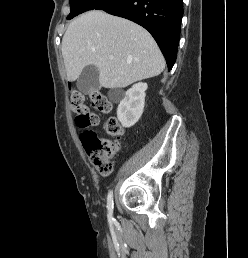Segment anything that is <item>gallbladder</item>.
<instances>
[{"mask_svg":"<svg viewBox=\"0 0 248 258\" xmlns=\"http://www.w3.org/2000/svg\"><path fill=\"white\" fill-rule=\"evenodd\" d=\"M78 89L88 95L99 87V70L94 65L86 66L77 80Z\"/></svg>","mask_w":248,"mask_h":258,"instance_id":"gallbladder-1","label":"gallbladder"}]
</instances>
